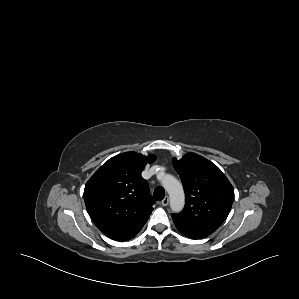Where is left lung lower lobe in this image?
Here are the masks:
<instances>
[{
  "label": "left lung lower lobe",
  "mask_w": 299,
  "mask_h": 299,
  "mask_svg": "<svg viewBox=\"0 0 299 299\" xmlns=\"http://www.w3.org/2000/svg\"><path fill=\"white\" fill-rule=\"evenodd\" d=\"M173 221L177 227V229L182 233L184 234L186 237L188 238H191V239H202V238H205L207 237V235H204V234H200V233H188L184 227L177 221L173 218Z\"/></svg>",
  "instance_id": "0a47b994"
}]
</instances>
